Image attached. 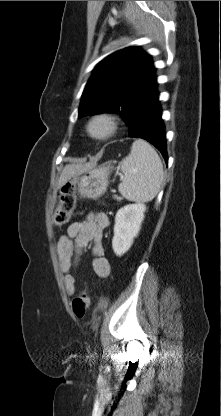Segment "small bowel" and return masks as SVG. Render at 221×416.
Instances as JSON below:
<instances>
[{
  "instance_id": "1",
  "label": "small bowel",
  "mask_w": 221,
  "mask_h": 416,
  "mask_svg": "<svg viewBox=\"0 0 221 416\" xmlns=\"http://www.w3.org/2000/svg\"><path fill=\"white\" fill-rule=\"evenodd\" d=\"M108 225V216L103 212H97L71 223L66 233L59 238L57 254L61 269L65 273L64 284L70 295L74 294L76 289V280L69 273L70 269L77 259L76 253L79 254L89 244H91V268L94 274L101 278L110 274V265L102 245L103 232Z\"/></svg>"
}]
</instances>
